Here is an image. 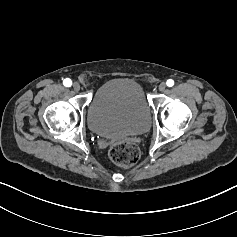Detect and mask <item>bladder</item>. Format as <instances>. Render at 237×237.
<instances>
[{
	"label": "bladder",
	"mask_w": 237,
	"mask_h": 237,
	"mask_svg": "<svg viewBox=\"0 0 237 237\" xmlns=\"http://www.w3.org/2000/svg\"><path fill=\"white\" fill-rule=\"evenodd\" d=\"M87 123L94 134L102 137L145 132L151 123V109L143 87L127 77L106 81L92 95Z\"/></svg>",
	"instance_id": "1"
}]
</instances>
